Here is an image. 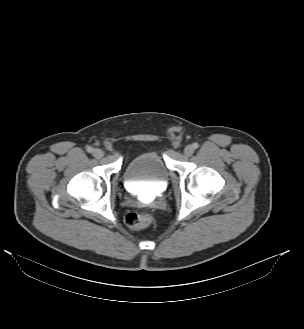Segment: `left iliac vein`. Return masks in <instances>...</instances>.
Segmentation results:
<instances>
[{
    "instance_id": "left-iliac-vein-1",
    "label": "left iliac vein",
    "mask_w": 304,
    "mask_h": 329,
    "mask_svg": "<svg viewBox=\"0 0 304 329\" xmlns=\"http://www.w3.org/2000/svg\"><path fill=\"white\" fill-rule=\"evenodd\" d=\"M194 153V148L191 146V145H188V146H186L185 147V149H184V154L186 155V156H191L192 154Z\"/></svg>"
}]
</instances>
